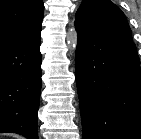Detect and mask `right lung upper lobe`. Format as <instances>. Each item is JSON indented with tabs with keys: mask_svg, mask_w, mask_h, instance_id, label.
<instances>
[{
	"mask_svg": "<svg viewBox=\"0 0 141 139\" xmlns=\"http://www.w3.org/2000/svg\"><path fill=\"white\" fill-rule=\"evenodd\" d=\"M43 15L42 0H1L0 49L40 36Z\"/></svg>",
	"mask_w": 141,
	"mask_h": 139,
	"instance_id": "obj_1",
	"label": "right lung upper lobe"
}]
</instances>
